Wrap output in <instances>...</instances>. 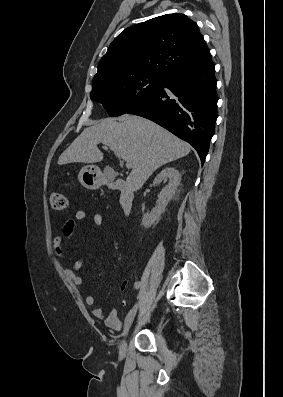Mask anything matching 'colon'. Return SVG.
<instances>
[{
	"mask_svg": "<svg viewBox=\"0 0 283 397\" xmlns=\"http://www.w3.org/2000/svg\"><path fill=\"white\" fill-rule=\"evenodd\" d=\"M50 204L54 210L61 211L67 208L68 201L64 194L52 193L50 196Z\"/></svg>",
	"mask_w": 283,
	"mask_h": 397,
	"instance_id": "colon-1",
	"label": "colon"
}]
</instances>
